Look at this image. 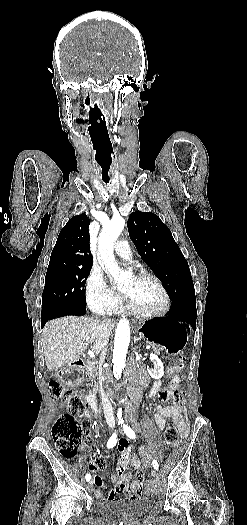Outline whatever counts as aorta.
I'll return each mask as SVG.
<instances>
[{"mask_svg":"<svg viewBox=\"0 0 247 525\" xmlns=\"http://www.w3.org/2000/svg\"><path fill=\"white\" fill-rule=\"evenodd\" d=\"M125 226L124 218L113 217L102 228L98 239V252L103 261L107 272L116 281L118 287H122L128 280V274L121 270L115 262L113 253L114 243ZM130 342L129 321L122 318L116 329L114 349H113V374L116 379L121 377L122 370L125 367L127 350ZM119 420H122V409L117 412Z\"/></svg>","mask_w":247,"mask_h":525,"instance_id":"aorta-1","label":"aorta"}]
</instances>
